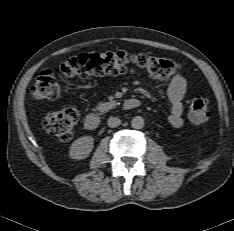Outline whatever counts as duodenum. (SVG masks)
I'll return each instance as SVG.
<instances>
[{"label":"duodenum","mask_w":234,"mask_h":231,"mask_svg":"<svg viewBox=\"0 0 234 231\" xmlns=\"http://www.w3.org/2000/svg\"><path fill=\"white\" fill-rule=\"evenodd\" d=\"M140 106V101L136 98L127 99L124 102V108L127 110H133ZM85 127L90 130H94L100 127L101 118L96 113H89L84 121Z\"/></svg>","instance_id":"duodenum-1"}]
</instances>
